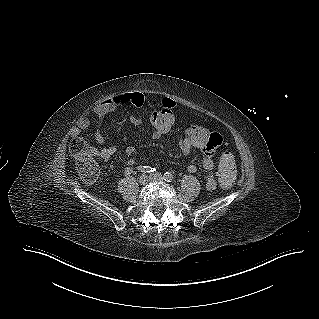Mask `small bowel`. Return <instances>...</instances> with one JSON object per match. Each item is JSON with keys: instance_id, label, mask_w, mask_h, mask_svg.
Instances as JSON below:
<instances>
[{"instance_id": "1", "label": "small bowel", "mask_w": 319, "mask_h": 319, "mask_svg": "<svg viewBox=\"0 0 319 319\" xmlns=\"http://www.w3.org/2000/svg\"><path fill=\"white\" fill-rule=\"evenodd\" d=\"M146 103L145 96L141 92H127L119 95H115L113 97H110L101 103H99L95 109H94V115H95V130H94V139L97 144L102 145L104 143V136L102 135L100 131V126L103 117L117 109L118 107L124 106V105H132L135 107H141ZM152 111L154 113H174L175 106L172 99H161L158 104H154L152 106ZM131 124L138 125L140 121L136 118H131L130 120ZM90 124V121L87 117H83L80 119L78 126L72 129L70 136L72 138H79L81 135V132L88 128ZM211 139L203 144L202 151L204 152V155L202 157V166L204 170L206 171L205 175V184L208 189H215L217 187V179L213 174V168H214V159L213 156L215 154V151L219 148V145L221 143V137H222V130L221 129H212L211 130ZM153 138H158L162 134L157 135L151 133ZM179 144L181 147V150L185 156H189L191 149L184 143L183 137H180ZM117 148L115 147H109V148H102L97 151V156L102 160H107L110 157H112L115 153H117ZM125 153L128 156V158L125 161L126 168L125 172L127 174H130L132 172V166L135 164V158L134 155L136 153V149L133 146H127L125 148ZM188 171L190 173H195L197 171V166L194 164H191L188 166ZM219 181L222 184V178L219 177ZM231 184L224 186L229 187Z\"/></svg>"}]
</instances>
